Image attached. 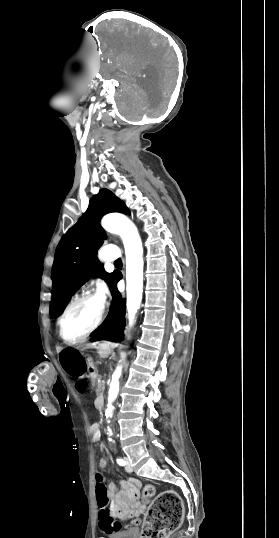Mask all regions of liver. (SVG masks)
I'll use <instances>...</instances> for the list:
<instances>
[{
  "label": "liver",
  "mask_w": 279,
  "mask_h": 538,
  "mask_svg": "<svg viewBox=\"0 0 279 538\" xmlns=\"http://www.w3.org/2000/svg\"><path fill=\"white\" fill-rule=\"evenodd\" d=\"M91 346H94V348H95V344H91Z\"/></svg>",
  "instance_id": "1"
}]
</instances>
